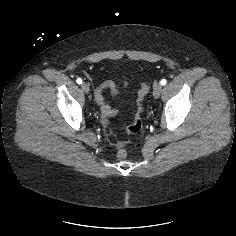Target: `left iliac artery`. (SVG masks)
Returning a JSON list of instances; mask_svg holds the SVG:
<instances>
[{"label":"left iliac artery","mask_w":236,"mask_h":236,"mask_svg":"<svg viewBox=\"0 0 236 236\" xmlns=\"http://www.w3.org/2000/svg\"><path fill=\"white\" fill-rule=\"evenodd\" d=\"M160 83H161V85H166L167 81H166V79H162V80L160 81Z\"/></svg>","instance_id":"1"}]
</instances>
